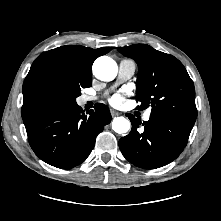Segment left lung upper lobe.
Instances as JSON below:
<instances>
[{
    "instance_id": "5c2ea615",
    "label": "left lung upper lobe",
    "mask_w": 221,
    "mask_h": 221,
    "mask_svg": "<svg viewBox=\"0 0 221 221\" xmlns=\"http://www.w3.org/2000/svg\"><path fill=\"white\" fill-rule=\"evenodd\" d=\"M118 51L138 64L136 98L141 103L140 109L151 106V115L194 125L197 116L194 84L177 58L147 44L121 47Z\"/></svg>"
}]
</instances>
